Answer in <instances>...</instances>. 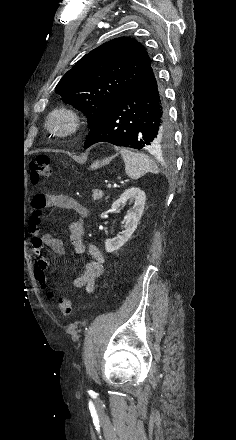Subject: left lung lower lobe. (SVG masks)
<instances>
[{
  "instance_id": "1",
  "label": "left lung lower lobe",
  "mask_w": 236,
  "mask_h": 440,
  "mask_svg": "<svg viewBox=\"0 0 236 440\" xmlns=\"http://www.w3.org/2000/svg\"><path fill=\"white\" fill-rule=\"evenodd\" d=\"M170 138L164 91L150 66L91 128L84 148L109 142L138 150L154 149Z\"/></svg>"
}]
</instances>
